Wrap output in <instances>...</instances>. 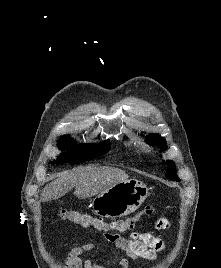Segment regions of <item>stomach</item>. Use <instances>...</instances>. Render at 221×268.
<instances>
[{
  "label": "stomach",
  "mask_w": 221,
  "mask_h": 268,
  "mask_svg": "<svg viewBox=\"0 0 221 268\" xmlns=\"http://www.w3.org/2000/svg\"><path fill=\"white\" fill-rule=\"evenodd\" d=\"M148 187L138 180H127L99 193L91 206L97 215L105 218H117L136 211L145 201Z\"/></svg>",
  "instance_id": "0dacf381"
}]
</instances>
